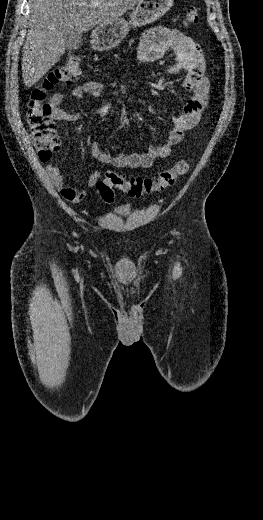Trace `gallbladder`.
Returning a JSON list of instances; mask_svg holds the SVG:
<instances>
[{
    "mask_svg": "<svg viewBox=\"0 0 263 520\" xmlns=\"http://www.w3.org/2000/svg\"><path fill=\"white\" fill-rule=\"evenodd\" d=\"M66 48L68 50H76L80 47L82 42V35L77 33H70L66 36Z\"/></svg>",
    "mask_w": 263,
    "mask_h": 520,
    "instance_id": "gallbladder-1",
    "label": "gallbladder"
}]
</instances>
